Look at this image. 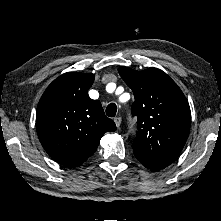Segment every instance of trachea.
Wrapping results in <instances>:
<instances>
[{
  "label": "trachea",
  "instance_id": "1",
  "mask_svg": "<svg viewBox=\"0 0 221 221\" xmlns=\"http://www.w3.org/2000/svg\"><path fill=\"white\" fill-rule=\"evenodd\" d=\"M117 112V106L115 103H110L106 108V115L108 117H114Z\"/></svg>",
  "mask_w": 221,
  "mask_h": 221
}]
</instances>
